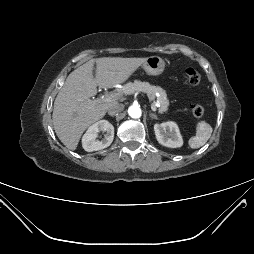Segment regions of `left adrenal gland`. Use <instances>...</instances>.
Masks as SVG:
<instances>
[{
	"instance_id": "obj_1",
	"label": "left adrenal gland",
	"mask_w": 254,
	"mask_h": 254,
	"mask_svg": "<svg viewBox=\"0 0 254 254\" xmlns=\"http://www.w3.org/2000/svg\"><path fill=\"white\" fill-rule=\"evenodd\" d=\"M150 118L152 119H158L157 115L155 113H150Z\"/></svg>"
}]
</instances>
